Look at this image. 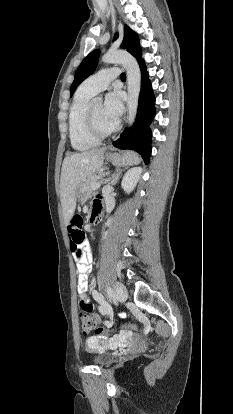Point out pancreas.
<instances>
[{
    "instance_id": "pancreas-1",
    "label": "pancreas",
    "mask_w": 233,
    "mask_h": 414,
    "mask_svg": "<svg viewBox=\"0 0 233 414\" xmlns=\"http://www.w3.org/2000/svg\"><path fill=\"white\" fill-rule=\"evenodd\" d=\"M107 174V173H106ZM105 175L104 172H99L98 175L96 174H91L86 180H85V184L87 187V193L90 196L91 193L93 192L92 189V184L97 183L100 177H103Z\"/></svg>"
}]
</instances>
